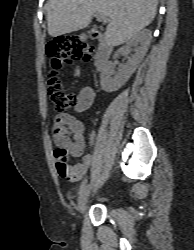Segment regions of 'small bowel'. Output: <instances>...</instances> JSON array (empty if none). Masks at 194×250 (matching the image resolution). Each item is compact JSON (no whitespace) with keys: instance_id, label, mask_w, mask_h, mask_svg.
I'll use <instances>...</instances> for the list:
<instances>
[{"instance_id":"small-bowel-1","label":"small bowel","mask_w":194,"mask_h":250,"mask_svg":"<svg viewBox=\"0 0 194 250\" xmlns=\"http://www.w3.org/2000/svg\"><path fill=\"white\" fill-rule=\"evenodd\" d=\"M95 99V92L91 86H85L78 95L76 110L83 112L90 108ZM51 133L58 149H64L73 157H82V160L74 165H68L66 171L57 164L58 174L71 182L79 181L91 166L92 155H84L86 145L85 125L82 121L69 113L57 114L53 120ZM93 135L90 141L93 142Z\"/></svg>"}]
</instances>
